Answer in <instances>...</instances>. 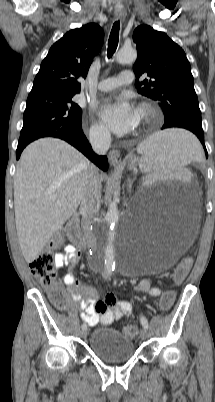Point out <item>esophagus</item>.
<instances>
[{
    "label": "esophagus",
    "mask_w": 215,
    "mask_h": 402,
    "mask_svg": "<svg viewBox=\"0 0 215 402\" xmlns=\"http://www.w3.org/2000/svg\"><path fill=\"white\" fill-rule=\"evenodd\" d=\"M114 16L116 19H124L125 12L121 9L115 10ZM109 162L113 167L121 165V153L119 150L113 149L109 152Z\"/></svg>",
    "instance_id": "esophagus-1"
}]
</instances>
